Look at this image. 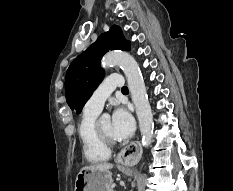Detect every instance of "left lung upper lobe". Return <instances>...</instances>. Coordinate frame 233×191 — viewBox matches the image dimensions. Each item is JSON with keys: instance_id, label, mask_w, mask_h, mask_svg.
Listing matches in <instances>:
<instances>
[{"instance_id": "5c2ea615", "label": "left lung upper lobe", "mask_w": 233, "mask_h": 191, "mask_svg": "<svg viewBox=\"0 0 233 191\" xmlns=\"http://www.w3.org/2000/svg\"><path fill=\"white\" fill-rule=\"evenodd\" d=\"M129 50L127 41L119 26H112L100 35L97 41L79 55L66 73V101L72 110L80 113L87 100L104 76L100 60L109 50Z\"/></svg>"}]
</instances>
